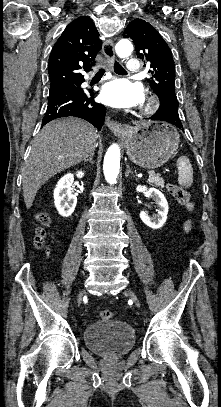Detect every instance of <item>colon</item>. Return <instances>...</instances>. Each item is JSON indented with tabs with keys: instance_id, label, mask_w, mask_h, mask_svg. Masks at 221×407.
<instances>
[{
	"instance_id": "5ec220e1",
	"label": "colon",
	"mask_w": 221,
	"mask_h": 407,
	"mask_svg": "<svg viewBox=\"0 0 221 407\" xmlns=\"http://www.w3.org/2000/svg\"><path fill=\"white\" fill-rule=\"evenodd\" d=\"M166 189H167L168 193L179 204H181L182 206H184L185 208H187L189 210H191L193 208L190 194L188 193L187 190L183 189L182 187H180L179 185L174 184V183L167 184ZM37 220L39 222V227L36 230L35 243L38 247H42L45 243V238L47 236L45 227L48 226L50 219H49V216L47 213L41 212L38 215ZM185 231H186V233H190V231H191V227L188 223L185 225ZM99 316L102 320H109L113 317V312L108 309H104L100 312Z\"/></svg>"
}]
</instances>
